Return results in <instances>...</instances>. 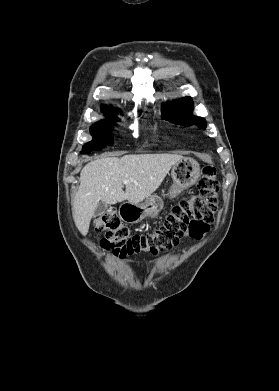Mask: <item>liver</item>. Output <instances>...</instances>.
Listing matches in <instances>:
<instances>
[{
  "label": "liver",
  "mask_w": 279,
  "mask_h": 391,
  "mask_svg": "<svg viewBox=\"0 0 279 391\" xmlns=\"http://www.w3.org/2000/svg\"><path fill=\"white\" fill-rule=\"evenodd\" d=\"M183 156L178 154H139L103 157L86 164L80 173V186L73 201L74 222L82 235L99 202L116 204L128 200L139 204L154 193L171 167ZM126 190L123 191V182Z\"/></svg>",
  "instance_id": "1"
}]
</instances>
